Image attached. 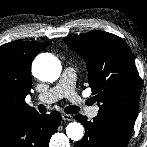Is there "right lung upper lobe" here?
<instances>
[{"instance_id": "obj_1", "label": "right lung upper lobe", "mask_w": 147, "mask_h": 147, "mask_svg": "<svg viewBox=\"0 0 147 147\" xmlns=\"http://www.w3.org/2000/svg\"><path fill=\"white\" fill-rule=\"evenodd\" d=\"M51 42L13 41L0 46V133L37 113L25 102L31 94V63Z\"/></svg>"}]
</instances>
